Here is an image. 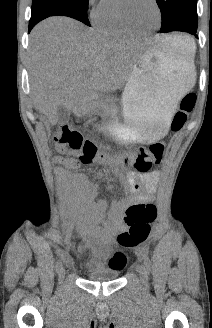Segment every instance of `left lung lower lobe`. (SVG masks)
Masks as SVG:
<instances>
[{
	"mask_svg": "<svg viewBox=\"0 0 212 328\" xmlns=\"http://www.w3.org/2000/svg\"><path fill=\"white\" fill-rule=\"evenodd\" d=\"M179 31H181V32H186V33H190V34H192V35L198 37V36L196 35V31H197V30L182 29V30H179Z\"/></svg>",
	"mask_w": 212,
	"mask_h": 328,
	"instance_id": "0a47b994",
	"label": "left lung lower lobe"
}]
</instances>
